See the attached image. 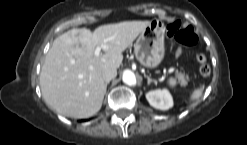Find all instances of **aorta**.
<instances>
[{
  "label": "aorta",
  "mask_w": 247,
  "mask_h": 145,
  "mask_svg": "<svg viewBox=\"0 0 247 145\" xmlns=\"http://www.w3.org/2000/svg\"><path fill=\"white\" fill-rule=\"evenodd\" d=\"M122 80H123V82H124L125 84L130 85V86L136 84V76H135V74H134L132 71H130V70H125V71L123 72Z\"/></svg>",
  "instance_id": "762f6f07"
}]
</instances>
